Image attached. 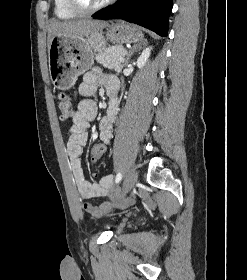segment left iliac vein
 <instances>
[{
	"label": "left iliac vein",
	"instance_id": "1",
	"mask_svg": "<svg viewBox=\"0 0 247 280\" xmlns=\"http://www.w3.org/2000/svg\"><path fill=\"white\" fill-rule=\"evenodd\" d=\"M137 178L138 174L135 168H131L127 171L123 185V195L127 194L132 189L137 181Z\"/></svg>",
	"mask_w": 247,
	"mask_h": 280
}]
</instances>
